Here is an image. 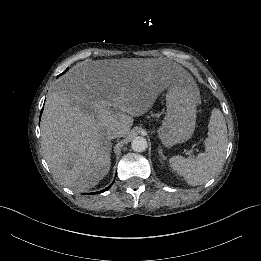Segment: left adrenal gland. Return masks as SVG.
Here are the masks:
<instances>
[{"label":"left adrenal gland","mask_w":261,"mask_h":261,"mask_svg":"<svg viewBox=\"0 0 261 261\" xmlns=\"http://www.w3.org/2000/svg\"><path fill=\"white\" fill-rule=\"evenodd\" d=\"M159 155L162 157L163 160L166 159V157L164 156L162 149L159 147V151H158Z\"/></svg>","instance_id":"a2214340"}]
</instances>
